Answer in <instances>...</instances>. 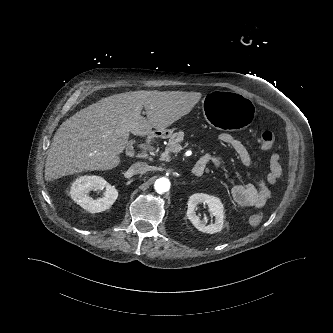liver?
Returning <instances> with one entry per match:
<instances>
[{
	"label": "liver",
	"mask_w": 333,
	"mask_h": 333,
	"mask_svg": "<svg viewBox=\"0 0 333 333\" xmlns=\"http://www.w3.org/2000/svg\"><path fill=\"white\" fill-rule=\"evenodd\" d=\"M201 96L199 92L140 90L89 105L65 120L55 133L45 179L117 167L130 133L145 136L152 128L164 130L188 114ZM143 107L147 118L141 116Z\"/></svg>",
	"instance_id": "6515ba94"
}]
</instances>
